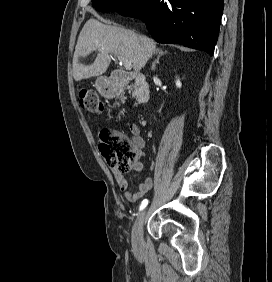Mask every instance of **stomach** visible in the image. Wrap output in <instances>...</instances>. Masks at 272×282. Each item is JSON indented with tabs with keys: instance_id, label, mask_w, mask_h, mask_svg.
Here are the masks:
<instances>
[{
	"instance_id": "1",
	"label": "stomach",
	"mask_w": 272,
	"mask_h": 282,
	"mask_svg": "<svg viewBox=\"0 0 272 282\" xmlns=\"http://www.w3.org/2000/svg\"><path fill=\"white\" fill-rule=\"evenodd\" d=\"M102 81H103V79L100 78V79L97 80V83H96V84H97L98 90L101 91V92H104V88H103V86H102Z\"/></svg>"
}]
</instances>
